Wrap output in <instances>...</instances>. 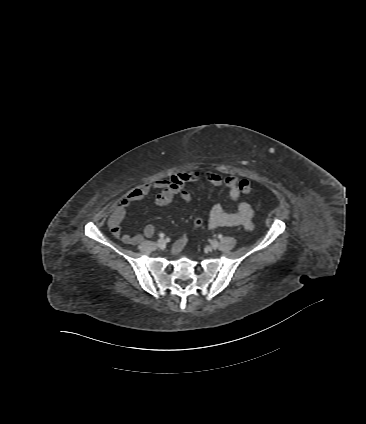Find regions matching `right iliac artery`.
<instances>
[{"mask_svg": "<svg viewBox=\"0 0 366 424\" xmlns=\"http://www.w3.org/2000/svg\"><path fill=\"white\" fill-rule=\"evenodd\" d=\"M159 236H160L161 238H163L165 235H164L163 233H161Z\"/></svg>", "mask_w": 366, "mask_h": 424, "instance_id": "obj_1", "label": "right iliac artery"}]
</instances>
